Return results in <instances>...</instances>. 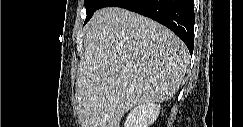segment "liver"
<instances>
[{
	"instance_id": "liver-1",
	"label": "liver",
	"mask_w": 243,
	"mask_h": 127,
	"mask_svg": "<svg viewBox=\"0 0 243 127\" xmlns=\"http://www.w3.org/2000/svg\"><path fill=\"white\" fill-rule=\"evenodd\" d=\"M85 29L76 89L84 127H119L136 104L163 102L176 94L190 56L168 28L107 7L96 11Z\"/></svg>"
}]
</instances>
